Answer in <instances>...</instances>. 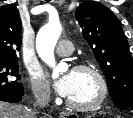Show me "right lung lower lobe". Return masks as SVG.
Wrapping results in <instances>:
<instances>
[{
    "label": "right lung lower lobe",
    "mask_w": 133,
    "mask_h": 118,
    "mask_svg": "<svg viewBox=\"0 0 133 118\" xmlns=\"http://www.w3.org/2000/svg\"><path fill=\"white\" fill-rule=\"evenodd\" d=\"M23 86L17 90L10 92H0V101L18 103L21 100V95H23Z\"/></svg>",
    "instance_id": "1"
}]
</instances>
